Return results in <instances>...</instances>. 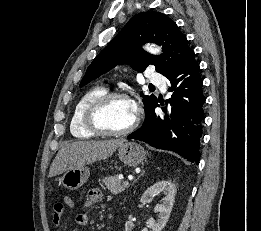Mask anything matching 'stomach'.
<instances>
[{"label": "stomach", "mask_w": 261, "mask_h": 231, "mask_svg": "<svg viewBox=\"0 0 261 231\" xmlns=\"http://www.w3.org/2000/svg\"><path fill=\"white\" fill-rule=\"evenodd\" d=\"M119 159L126 165L135 167L146 158L145 150L135 142H124L118 148ZM86 166L67 170L61 177L62 184L69 190L80 188L89 178Z\"/></svg>", "instance_id": "stomach-1"}]
</instances>
